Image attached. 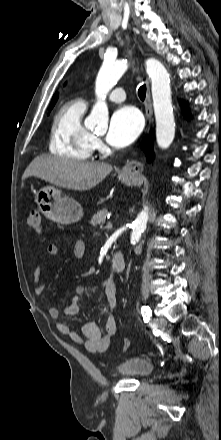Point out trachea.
<instances>
[{
    "mask_svg": "<svg viewBox=\"0 0 221 440\" xmlns=\"http://www.w3.org/2000/svg\"><path fill=\"white\" fill-rule=\"evenodd\" d=\"M138 96L143 101L146 96V85H142L138 89Z\"/></svg>",
    "mask_w": 221,
    "mask_h": 440,
    "instance_id": "3493384b",
    "label": "trachea"
}]
</instances>
